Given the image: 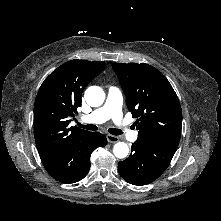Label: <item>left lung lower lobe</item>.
I'll return each instance as SVG.
<instances>
[{
  "instance_id": "0a47b994",
  "label": "left lung lower lobe",
  "mask_w": 221,
  "mask_h": 221,
  "mask_svg": "<svg viewBox=\"0 0 221 221\" xmlns=\"http://www.w3.org/2000/svg\"><path fill=\"white\" fill-rule=\"evenodd\" d=\"M130 156L118 163L121 177L133 185H146L157 179L169 166L174 150L138 138Z\"/></svg>"
}]
</instances>
